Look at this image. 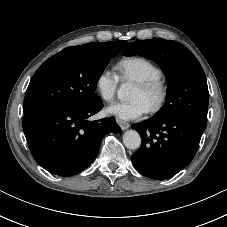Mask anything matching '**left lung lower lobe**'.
<instances>
[{"label":"left lung lower lobe","instance_id":"obj_1","mask_svg":"<svg viewBox=\"0 0 227 227\" xmlns=\"http://www.w3.org/2000/svg\"><path fill=\"white\" fill-rule=\"evenodd\" d=\"M142 138L141 147L131 157L142 175L155 180L170 178L194 158L206 121L190 116L149 118L132 124Z\"/></svg>","mask_w":227,"mask_h":227}]
</instances>
